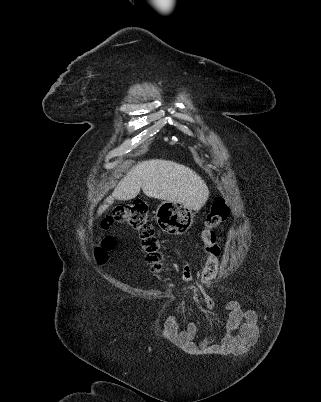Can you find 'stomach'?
<instances>
[{
    "label": "stomach",
    "mask_w": 321,
    "mask_h": 402,
    "mask_svg": "<svg viewBox=\"0 0 321 402\" xmlns=\"http://www.w3.org/2000/svg\"><path fill=\"white\" fill-rule=\"evenodd\" d=\"M155 218L164 232L171 235H181L191 227L194 212L184 203L165 200L158 205Z\"/></svg>",
    "instance_id": "1"
}]
</instances>
